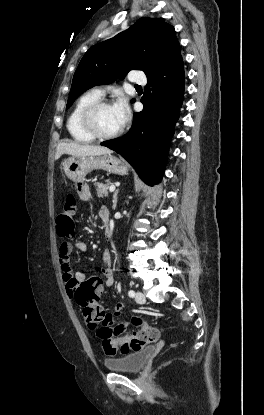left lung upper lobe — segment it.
<instances>
[{
  "label": "left lung upper lobe",
  "mask_w": 264,
  "mask_h": 415,
  "mask_svg": "<svg viewBox=\"0 0 264 415\" xmlns=\"http://www.w3.org/2000/svg\"><path fill=\"white\" fill-rule=\"evenodd\" d=\"M173 26L162 18H141L115 37L90 48L74 73L66 109L87 89L122 79L130 70L150 76L180 57ZM134 101V100H133Z\"/></svg>",
  "instance_id": "left-lung-upper-lobe-1"
}]
</instances>
